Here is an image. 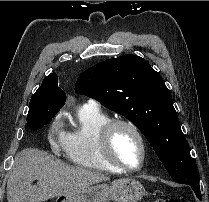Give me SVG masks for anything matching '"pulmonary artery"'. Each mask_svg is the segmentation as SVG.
Instances as JSON below:
<instances>
[{"label":"pulmonary artery","mask_w":209,"mask_h":202,"mask_svg":"<svg viewBox=\"0 0 209 202\" xmlns=\"http://www.w3.org/2000/svg\"><path fill=\"white\" fill-rule=\"evenodd\" d=\"M84 106H86V107H96V106H98V102L94 99H89L84 103Z\"/></svg>","instance_id":"pulmonary-artery-1"}]
</instances>
